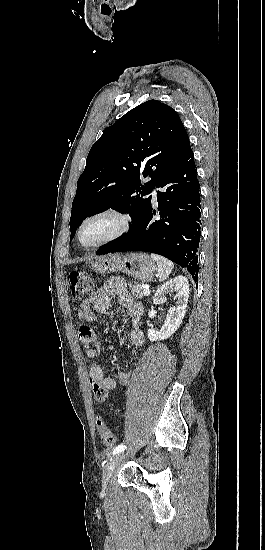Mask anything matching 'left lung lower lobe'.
Returning <instances> with one entry per match:
<instances>
[{
	"label": "left lung lower lobe",
	"instance_id": "1",
	"mask_svg": "<svg viewBox=\"0 0 265 550\" xmlns=\"http://www.w3.org/2000/svg\"><path fill=\"white\" fill-rule=\"evenodd\" d=\"M158 187L161 188L157 192L160 218L150 205L136 227L115 242L100 247L97 254L122 251L160 254L185 267L197 282L201 205L190 144L167 170Z\"/></svg>",
	"mask_w": 265,
	"mask_h": 550
}]
</instances>
